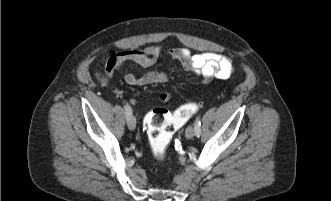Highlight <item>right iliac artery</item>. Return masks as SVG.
I'll return each instance as SVG.
<instances>
[{"instance_id":"right-iliac-artery-1","label":"right iliac artery","mask_w":331,"mask_h":201,"mask_svg":"<svg viewBox=\"0 0 331 201\" xmlns=\"http://www.w3.org/2000/svg\"><path fill=\"white\" fill-rule=\"evenodd\" d=\"M124 108H125V116L126 119L128 120L132 116V109L128 103L125 104Z\"/></svg>"}]
</instances>
